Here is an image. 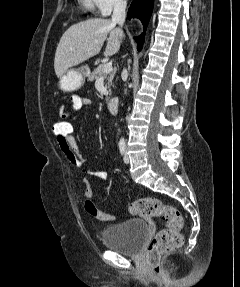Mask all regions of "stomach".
Segmentation results:
<instances>
[{
    "instance_id": "stomach-1",
    "label": "stomach",
    "mask_w": 240,
    "mask_h": 287,
    "mask_svg": "<svg viewBox=\"0 0 240 287\" xmlns=\"http://www.w3.org/2000/svg\"><path fill=\"white\" fill-rule=\"evenodd\" d=\"M89 74V68L86 66L67 70L59 79L58 88L65 92H72L85 83V79Z\"/></svg>"
}]
</instances>
